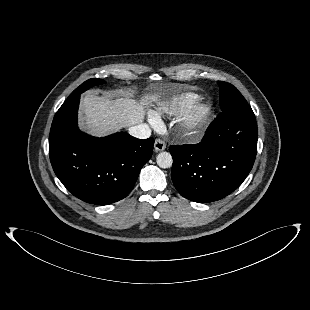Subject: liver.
<instances>
[{
  "label": "liver",
  "mask_w": 310,
  "mask_h": 310,
  "mask_svg": "<svg viewBox=\"0 0 310 310\" xmlns=\"http://www.w3.org/2000/svg\"><path fill=\"white\" fill-rule=\"evenodd\" d=\"M160 97L158 92H150L136 101L129 94L113 98L88 92L81 103V126L92 135L103 136L142 123L146 108L159 103Z\"/></svg>",
  "instance_id": "obj_1"
}]
</instances>
